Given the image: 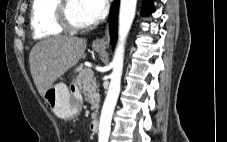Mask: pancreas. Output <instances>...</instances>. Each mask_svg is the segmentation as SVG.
Listing matches in <instances>:
<instances>
[{
    "instance_id": "obj_1",
    "label": "pancreas",
    "mask_w": 227,
    "mask_h": 142,
    "mask_svg": "<svg viewBox=\"0 0 227 142\" xmlns=\"http://www.w3.org/2000/svg\"><path fill=\"white\" fill-rule=\"evenodd\" d=\"M87 71L89 70H83L80 72L74 79V82L78 86L79 91L84 95L85 99L91 104V110L97 113L100 106V95L96 80L87 79Z\"/></svg>"
}]
</instances>
